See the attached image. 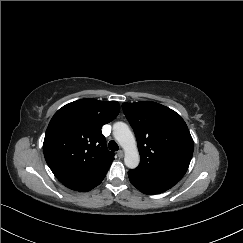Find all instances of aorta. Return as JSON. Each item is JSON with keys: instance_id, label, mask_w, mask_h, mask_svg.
Returning a JSON list of instances; mask_svg holds the SVG:
<instances>
[{"instance_id": "1", "label": "aorta", "mask_w": 243, "mask_h": 243, "mask_svg": "<svg viewBox=\"0 0 243 243\" xmlns=\"http://www.w3.org/2000/svg\"><path fill=\"white\" fill-rule=\"evenodd\" d=\"M113 135L124 149V163L130 168H136L140 163V156L137 149L135 137L129 126L124 122H116L113 125Z\"/></svg>"}]
</instances>
